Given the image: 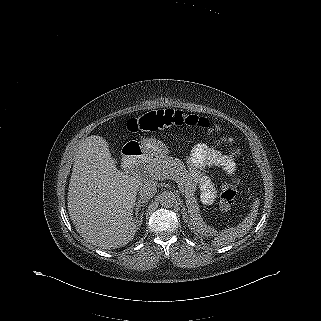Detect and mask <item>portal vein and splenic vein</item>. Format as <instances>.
Returning <instances> with one entry per match:
<instances>
[{
  "instance_id": "18ae733b",
  "label": "portal vein and splenic vein",
  "mask_w": 321,
  "mask_h": 321,
  "mask_svg": "<svg viewBox=\"0 0 321 321\" xmlns=\"http://www.w3.org/2000/svg\"><path fill=\"white\" fill-rule=\"evenodd\" d=\"M150 177L155 178V179H157V180H161V179L167 178V176H165V175H163V176L161 177V174H160V173H157V172H152V173H150ZM179 185H180V184H179Z\"/></svg>"
}]
</instances>
